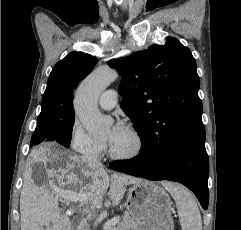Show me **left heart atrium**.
<instances>
[{"label":"left heart atrium","mask_w":241,"mask_h":230,"mask_svg":"<svg viewBox=\"0 0 241 230\" xmlns=\"http://www.w3.org/2000/svg\"><path fill=\"white\" fill-rule=\"evenodd\" d=\"M124 128L125 127L121 122L117 123L112 129V139H115L122 132Z\"/></svg>","instance_id":"left-heart-atrium-1"}]
</instances>
